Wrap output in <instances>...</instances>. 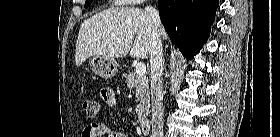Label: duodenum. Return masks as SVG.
<instances>
[{
  "instance_id": "obj_1",
  "label": "duodenum",
  "mask_w": 280,
  "mask_h": 137,
  "mask_svg": "<svg viewBox=\"0 0 280 137\" xmlns=\"http://www.w3.org/2000/svg\"><path fill=\"white\" fill-rule=\"evenodd\" d=\"M152 122L149 119H146L141 122L140 130L144 134H149L151 132Z\"/></svg>"
}]
</instances>
